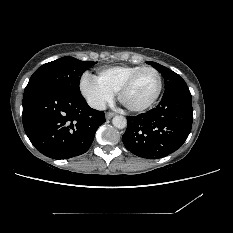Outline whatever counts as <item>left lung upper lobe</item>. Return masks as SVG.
<instances>
[{
	"label": "left lung upper lobe",
	"instance_id": "1",
	"mask_svg": "<svg viewBox=\"0 0 233 233\" xmlns=\"http://www.w3.org/2000/svg\"><path fill=\"white\" fill-rule=\"evenodd\" d=\"M147 63L150 64L152 67H154L157 71H159L161 75L164 77V81H165L164 95L178 87L187 85L186 82L177 73L166 68L165 66H162L156 62H151V61H148Z\"/></svg>",
	"mask_w": 233,
	"mask_h": 233
}]
</instances>
